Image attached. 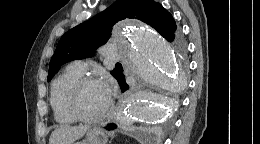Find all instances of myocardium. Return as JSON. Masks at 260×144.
I'll return each mask as SVG.
<instances>
[{"label": "myocardium", "instance_id": "1", "mask_svg": "<svg viewBox=\"0 0 260 144\" xmlns=\"http://www.w3.org/2000/svg\"><path fill=\"white\" fill-rule=\"evenodd\" d=\"M100 83V81L92 76H82L80 79H78L72 88L69 91L67 101H66V107L70 115L78 121L86 122V123H94L99 121L101 118H103L106 113L108 112L111 102L108 100L107 105L103 110H101L98 114L88 116L82 113L78 106V100L81 94L82 89L84 86L90 83Z\"/></svg>", "mask_w": 260, "mask_h": 144}]
</instances>
